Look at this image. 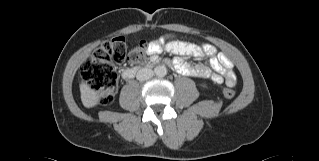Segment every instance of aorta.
Listing matches in <instances>:
<instances>
[{
    "label": "aorta",
    "instance_id": "aorta-1",
    "mask_svg": "<svg viewBox=\"0 0 319 161\" xmlns=\"http://www.w3.org/2000/svg\"><path fill=\"white\" fill-rule=\"evenodd\" d=\"M154 73L158 77H164L167 74V68L164 65H159V66L155 67Z\"/></svg>",
    "mask_w": 319,
    "mask_h": 161
}]
</instances>
